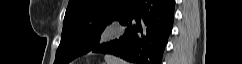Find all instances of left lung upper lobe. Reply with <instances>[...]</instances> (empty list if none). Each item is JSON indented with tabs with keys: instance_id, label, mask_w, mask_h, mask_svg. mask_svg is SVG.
Returning <instances> with one entry per match:
<instances>
[{
	"instance_id": "5c2ea615",
	"label": "left lung upper lobe",
	"mask_w": 242,
	"mask_h": 64,
	"mask_svg": "<svg viewBox=\"0 0 242 64\" xmlns=\"http://www.w3.org/2000/svg\"><path fill=\"white\" fill-rule=\"evenodd\" d=\"M132 0H70L54 64H68L100 43L105 28Z\"/></svg>"
}]
</instances>
